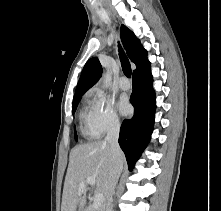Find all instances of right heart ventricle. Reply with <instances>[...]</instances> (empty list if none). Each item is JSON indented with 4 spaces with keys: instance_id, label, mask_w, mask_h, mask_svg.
I'll use <instances>...</instances> for the list:
<instances>
[{
    "instance_id": "obj_1",
    "label": "right heart ventricle",
    "mask_w": 221,
    "mask_h": 211,
    "mask_svg": "<svg viewBox=\"0 0 221 211\" xmlns=\"http://www.w3.org/2000/svg\"><path fill=\"white\" fill-rule=\"evenodd\" d=\"M80 122L82 125V134L88 138H96L98 135L94 132L90 124V114L87 109H83L80 113Z\"/></svg>"
}]
</instances>
